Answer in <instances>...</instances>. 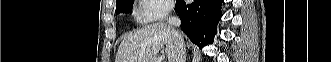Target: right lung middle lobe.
<instances>
[{
  "label": "right lung middle lobe",
  "mask_w": 331,
  "mask_h": 62,
  "mask_svg": "<svg viewBox=\"0 0 331 62\" xmlns=\"http://www.w3.org/2000/svg\"><path fill=\"white\" fill-rule=\"evenodd\" d=\"M133 1L130 0H120L116 3V13H129L132 9Z\"/></svg>",
  "instance_id": "obj_1"
}]
</instances>
